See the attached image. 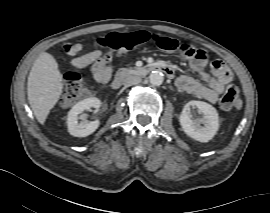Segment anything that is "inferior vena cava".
<instances>
[{
  "label": "inferior vena cava",
  "instance_id": "602c4592",
  "mask_svg": "<svg viewBox=\"0 0 270 213\" xmlns=\"http://www.w3.org/2000/svg\"><path fill=\"white\" fill-rule=\"evenodd\" d=\"M141 82V78L139 76H127L123 80V85L126 87L138 84Z\"/></svg>",
  "mask_w": 270,
  "mask_h": 213
}]
</instances>
